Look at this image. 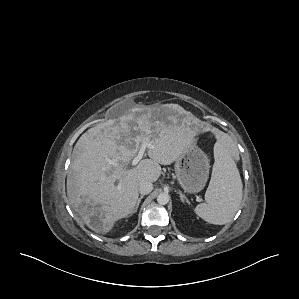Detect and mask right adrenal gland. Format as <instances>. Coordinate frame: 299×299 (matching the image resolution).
<instances>
[{
    "label": "right adrenal gland",
    "mask_w": 299,
    "mask_h": 299,
    "mask_svg": "<svg viewBox=\"0 0 299 299\" xmlns=\"http://www.w3.org/2000/svg\"><path fill=\"white\" fill-rule=\"evenodd\" d=\"M143 197H144V195H141V196L138 198V200H137V204H136V206H135V208H134V210L132 211V213H131V214H134V213H136V212H137V210H138V207H139V205H140V203H141V200L143 199Z\"/></svg>",
    "instance_id": "2a0ac1e0"
}]
</instances>
